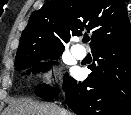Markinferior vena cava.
<instances>
[{
    "mask_svg": "<svg viewBox=\"0 0 131 115\" xmlns=\"http://www.w3.org/2000/svg\"><path fill=\"white\" fill-rule=\"evenodd\" d=\"M66 111L65 110H62V115H66Z\"/></svg>",
    "mask_w": 131,
    "mask_h": 115,
    "instance_id": "inferior-vena-cava-1",
    "label": "inferior vena cava"
}]
</instances>
